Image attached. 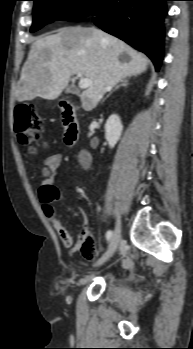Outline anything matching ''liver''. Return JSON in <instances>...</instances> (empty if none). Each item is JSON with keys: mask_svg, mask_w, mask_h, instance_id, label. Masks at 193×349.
<instances>
[{"mask_svg": "<svg viewBox=\"0 0 193 349\" xmlns=\"http://www.w3.org/2000/svg\"><path fill=\"white\" fill-rule=\"evenodd\" d=\"M125 53L130 61H121ZM148 59L120 39L94 27H64L37 39L23 65L16 90L19 102L36 97L56 99L74 74L92 81L82 93V107L90 111L121 80L147 70Z\"/></svg>", "mask_w": 193, "mask_h": 349, "instance_id": "6515ba94", "label": "liver"}]
</instances>
